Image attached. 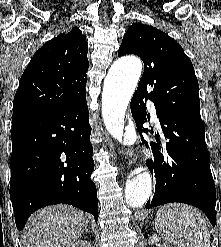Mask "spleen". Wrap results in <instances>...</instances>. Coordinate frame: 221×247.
Masks as SVG:
<instances>
[{
	"instance_id": "3e777b00",
	"label": "spleen",
	"mask_w": 221,
	"mask_h": 247,
	"mask_svg": "<svg viewBox=\"0 0 221 247\" xmlns=\"http://www.w3.org/2000/svg\"><path fill=\"white\" fill-rule=\"evenodd\" d=\"M156 232L177 247H210V233L201 214L186 204L161 207L155 218Z\"/></svg>"
}]
</instances>
